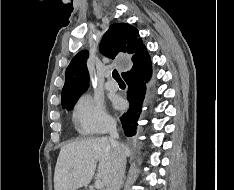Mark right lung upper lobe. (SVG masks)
<instances>
[{
    "mask_svg": "<svg viewBox=\"0 0 234 190\" xmlns=\"http://www.w3.org/2000/svg\"><path fill=\"white\" fill-rule=\"evenodd\" d=\"M138 30L125 23L112 24L104 34L100 44L101 51L114 59L118 54L131 56L132 62L145 49ZM88 52L80 51L66 69L65 84L62 89V104L78 99L88 88L89 73L86 66ZM123 74V73H122Z\"/></svg>",
    "mask_w": 234,
    "mask_h": 190,
    "instance_id": "right-lung-upper-lobe-1",
    "label": "right lung upper lobe"
}]
</instances>
